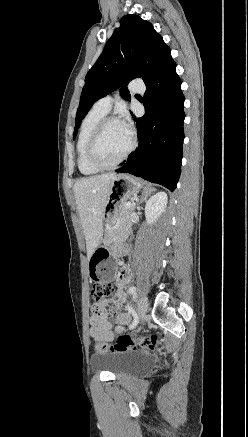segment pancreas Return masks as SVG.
I'll list each match as a JSON object with an SVG mask.
<instances>
[{"label": "pancreas", "mask_w": 248, "mask_h": 437, "mask_svg": "<svg viewBox=\"0 0 248 437\" xmlns=\"http://www.w3.org/2000/svg\"><path fill=\"white\" fill-rule=\"evenodd\" d=\"M126 202L122 204L118 219L112 227L115 229L111 232V237L119 238L123 234V230L126 228L128 224H130V216L134 211V206H130L128 208L125 207Z\"/></svg>", "instance_id": "pancreas-1"}]
</instances>
